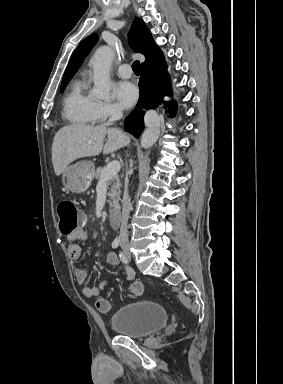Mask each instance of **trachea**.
<instances>
[{
	"label": "trachea",
	"instance_id": "1",
	"mask_svg": "<svg viewBox=\"0 0 283 384\" xmlns=\"http://www.w3.org/2000/svg\"><path fill=\"white\" fill-rule=\"evenodd\" d=\"M132 69L134 71L135 74H139V71H140V64H139V61H135L133 62L132 64Z\"/></svg>",
	"mask_w": 283,
	"mask_h": 384
}]
</instances>
